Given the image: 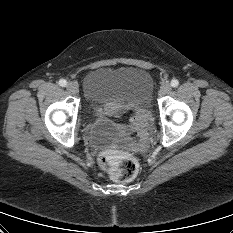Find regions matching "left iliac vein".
<instances>
[{
	"mask_svg": "<svg viewBox=\"0 0 233 233\" xmlns=\"http://www.w3.org/2000/svg\"><path fill=\"white\" fill-rule=\"evenodd\" d=\"M171 91V85L169 83H163L160 87V94L166 95Z\"/></svg>",
	"mask_w": 233,
	"mask_h": 233,
	"instance_id": "left-iliac-vein-1",
	"label": "left iliac vein"
}]
</instances>
